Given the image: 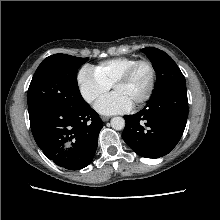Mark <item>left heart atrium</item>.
<instances>
[{"mask_svg": "<svg viewBox=\"0 0 220 220\" xmlns=\"http://www.w3.org/2000/svg\"><path fill=\"white\" fill-rule=\"evenodd\" d=\"M131 107L132 104L125 97L115 92L102 98L95 105L96 111L103 115L124 113Z\"/></svg>", "mask_w": 220, "mask_h": 220, "instance_id": "left-heart-atrium-1", "label": "left heart atrium"}]
</instances>
